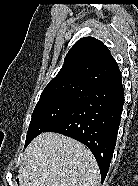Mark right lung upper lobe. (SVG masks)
I'll return each mask as SVG.
<instances>
[{"instance_id":"1","label":"right lung upper lobe","mask_w":138,"mask_h":186,"mask_svg":"<svg viewBox=\"0 0 138 186\" xmlns=\"http://www.w3.org/2000/svg\"><path fill=\"white\" fill-rule=\"evenodd\" d=\"M74 85L92 90L122 85L118 65L101 41L84 37L75 43L66 55L63 67L43 92Z\"/></svg>"}]
</instances>
